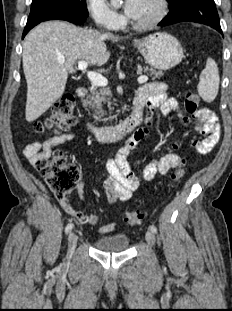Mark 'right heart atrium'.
Instances as JSON below:
<instances>
[{"label":"right heart atrium","mask_w":232,"mask_h":311,"mask_svg":"<svg viewBox=\"0 0 232 311\" xmlns=\"http://www.w3.org/2000/svg\"><path fill=\"white\" fill-rule=\"evenodd\" d=\"M87 8L93 20L107 29H116L122 23V17L105 0H87Z\"/></svg>","instance_id":"1"}]
</instances>
